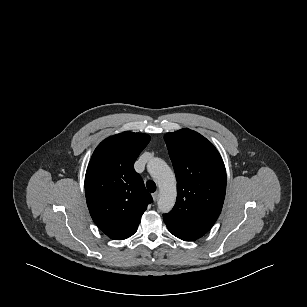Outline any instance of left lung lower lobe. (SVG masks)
Returning <instances> with one entry per match:
<instances>
[{"label":"left lung lower lobe","instance_id":"1","mask_svg":"<svg viewBox=\"0 0 307 307\" xmlns=\"http://www.w3.org/2000/svg\"><path fill=\"white\" fill-rule=\"evenodd\" d=\"M168 229H169V231H170L174 236L178 237L179 239L184 240V241H192V240L189 239L188 237L183 236V235H181V234H179V233H177V232L171 230L169 227H168Z\"/></svg>","mask_w":307,"mask_h":307}]
</instances>
